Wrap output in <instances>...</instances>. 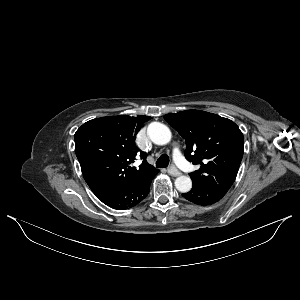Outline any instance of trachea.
<instances>
[{
  "mask_svg": "<svg viewBox=\"0 0 300 300\" xmlns=\"http://www.w3.org/2000/svg\"><path fill=\"white\" fill-rule=\"evenodd\" d=\"M169 165V157L166 154H162L156 162L157 168H166Z\"/></svg>",
  "mask_w": 300,
  "mask_h": 300,
  "instance_id": "trachea-1",
  "label": "trachea"
}]
</instances>
